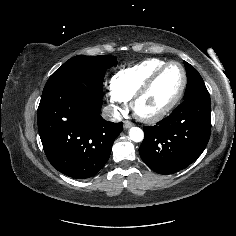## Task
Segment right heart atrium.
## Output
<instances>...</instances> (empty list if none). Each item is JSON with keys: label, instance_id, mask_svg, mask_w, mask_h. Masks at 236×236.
Masks as SVG:
<instances>
[{"label": "right heart atrium", "instance_id": "1", "mask_svg": "<svg viewBox=\"0 0 236 236\" xmlns=\"http://www.w3.org/2000/svg\"><path fill=\"white\" fill-rule=\"evenodd\" d=\"M107 100L115 114H120L125 109V101L118 98L113 92L107 95Z\"/></svg>", "mask_w": 236, "mask_h": 236}]
</instances>
